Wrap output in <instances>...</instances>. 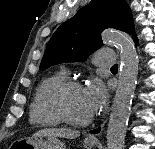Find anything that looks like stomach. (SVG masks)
I'll list each match as a JSON object with an SVG mask.
<instances>
[{"label":"stomach","instance_id":"stomach-1","mask_svg":"<svg viewBox=\"0 0 155 149\" xmlns=\"http://www.w3.org/2000/svg\"><path fill=\"white\" fill-rule=\"evenodd\" d=\"M85 149H92L94 142L84 141ZM14 149H65V143L55 136L40 135L29 139H19L12 144Z\"/></svg>","mask_w":155,"mask_h":149}]
</instances>
